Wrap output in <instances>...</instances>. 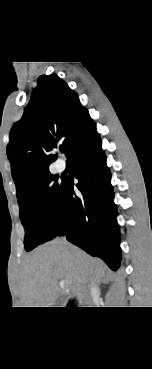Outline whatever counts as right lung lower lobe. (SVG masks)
<instances>
[{"mask_svg": "<svg viewBox=\"0 0 152 369\" xmlns=\"http://www.w3.org/2000/svg\"><path fill=\"white\" fill-rule=\"evenodd\" d=\"M68 159L75 168L81 195L75 194L72 179H63L59 222L52 239L66 235L68 241L116 270L121 258L117 209L110 170L96 129L73 148Z\"/></svg>", "mask_w": 152, "mask_h": 369, "instance_id": "1", "label": "right lung lower lobe"}]
</instances>
